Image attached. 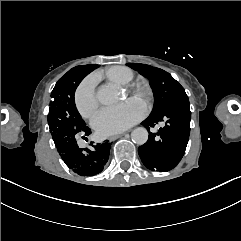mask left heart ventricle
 Wrapping results in <instances>:
<instances>
[{"instance_id":"obj_1","label":"left heart ventricle","mask_w":241,"mask_h":241,"mask_svg":"<svg viewBox=\"0 0 241 241\" xmlns=\"http://www.w3.org/2000/svg\"><path fill=\"white\" fill-rule=\"evenodd\" d=\"M133 97L143 103V105H148L151 100V91L149 86L140 82L137 86V89L133 92Z\"/></svg>"}]
</instances>
